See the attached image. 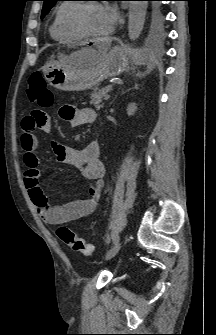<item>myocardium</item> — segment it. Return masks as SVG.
<instances>
[{"label": "myocardium", "instance_id": "myocardium-1", "mask_svg": "<svg viewBox=\"0 0 216 335\" xmlns=\"http://www.w3.org/2000/svg\"><path fill=\"white\" fill-rule=\"evenodd\" d=\"M94 3H85V4H77L71 14L70 23L72 28L78 33L82 34L86 37H101L107 35L111 30H108L103 33H96L90 31L84 21V16L86 10L93 5Z\"/></svg>", "mask_w": 216, "mask_h": 335}]
</instances>
